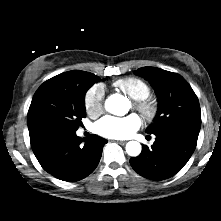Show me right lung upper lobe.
Instances as JSON below:
<instances>
[{
    "label": "right lung upper lobe",
    "instance_id": "obj_1",
    "mask_svg": "<svg viewBox=\"0 0 221 221\" xmlns=\"http://www.w3.org/2000/svg\"><path fill=\"white\" fill-rule=\"evenodd\" d=\"M74 71V70H73ZM73 71H68L62 74H59L55 77H62L65 75L70 74ZM28 129H29V135H30V142H31V147H35L37 144H39L48 134H45L43 132L38 131L35 129L31 123L28 122Z\"/></svg>",
    "mask_w": 221,
    "mask_h": 221
}]
</instances>
